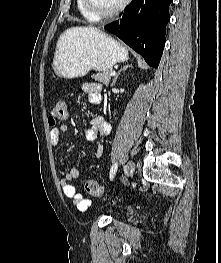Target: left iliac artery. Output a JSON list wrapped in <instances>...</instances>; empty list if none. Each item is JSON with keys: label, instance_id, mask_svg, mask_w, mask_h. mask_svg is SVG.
<instances>
[{"label": "left iliac artery", "instance_id": "1", "mask_svg": "<svg viewBox=\"0 0 221 263\" xmlns=\"http://www.w3.org/2000/svg\"><path fill=\"white\" fill-rule=\"evenodd\" d=\"M117 170V163H115L110 170V179L112 180Z\"/></svg>", "mask_w": 221, "mask_h": 263}]
</instances>
